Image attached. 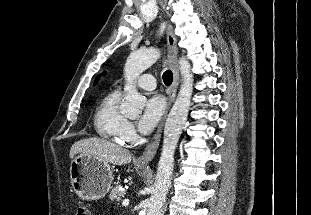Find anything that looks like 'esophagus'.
Wrapping results in <instances>:
<instances>
[{
  "label": "esophagus",
  "mask_w": 311,
  "mask_h": 215,
  "mask_svg": "<svg viewBox=\"0 0 311 215\" xmlns=\"http://www.w3.org/2000/svg\"><path fill=\"white\" fill-rule=\"evenodd\" d=\"M166 40H167V48H168V63L173 72V82L170 88L169 102H168V109H169L175 99L178 84H179V70H178V65H177V39L173 32V28L171 25L167 26ZM165 117H166V114L163 117L161 123L159 124L158 129L153 139L146 146L143 153L136 159V163L138 165L147 166L154 158L157 152V149L159 147V144H160Z\"/></svg>",
  "instance_id": "obj_1"
}]
</instances>
